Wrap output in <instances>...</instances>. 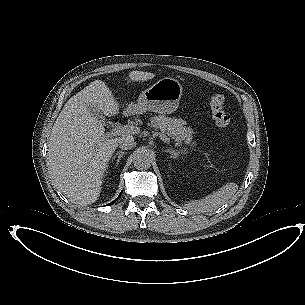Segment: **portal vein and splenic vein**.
<instances>
[{
	"instance_id": "obj_1",
	"label": "portal vein and splenic vein",
	"mask_w": 305,
	"mask_h": 305,
	"mask_svg": "<svg viewBox=\"0 0 305 305\" xmlns=\"http://www.w3.org/2000/svg\"><path fill=\"white\" fill-rule=\"evenodd\" d=\"M129 132H136L135 127L133 126H122L112 130L111 134L119 135L121 133H129Z\"/></svg>"
}]
</instances>
